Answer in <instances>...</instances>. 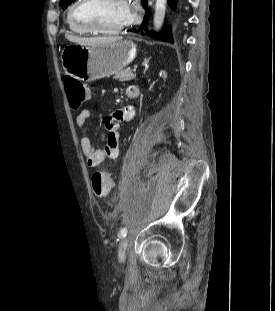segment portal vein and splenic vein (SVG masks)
<instances>
[{"label":"portal vein and splenic vein","instance_id":"1","mask_svg":"<svg viewBox=\"0 0 275 311\" xmlns=\"http://www.w3.org/2000/svg\"><path fill=\"white\" fill-rule=\"evenodd\" d=\"M132 71H133V72H136V68H134Z\"/></svg>","mask_w":275,"mask_h":311}]
</instances>
